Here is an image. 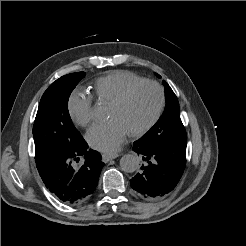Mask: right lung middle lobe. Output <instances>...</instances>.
<instances>
[{
  "label": "right lung middle lobe",
  "instance_id": "dd1d6c3e",
  "mask_svg": "<svg viewBox=\"0 0 246 246\" xmlns=\"http://www.w3.org/2000/svg\"><path fill=\"white\" fill-rule=\"evenodd\" d=\"M84 77V72L62 76L44 92L33 126L35 162L71 150L82 139L70 118L68 99Z\"/></svg>",
  "mask_w": 246,
  "mask_h": 246
}]
</instances>
